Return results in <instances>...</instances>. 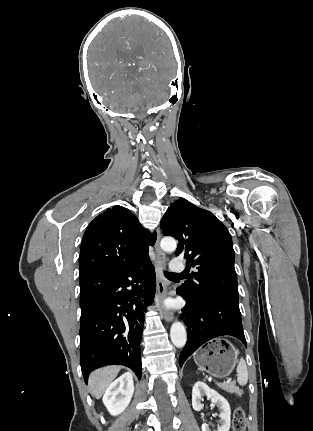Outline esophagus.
<instances>
[{
  "mask_svg": "<svg viewBox=\"0 0 313 431\" xmlns=\"http://www.w3.org/2000/svg\"><path fill=\"white\" fill-rule=\"evenodd\" d=\"M160 230H157V239L155 242V252H156V261H155V271H156V280H157V307L160 311L162 317L170 322L173 319V313L168 311L164 305L163 300L167 295V281L163 275V270L166 265V255L161 250L159 241H160Z\"/></svg>",
  "mask_w": 313,
  "mask_h": 431,
  "instance_id": "1",
  "label": "esophagus"
}]
</instances>
